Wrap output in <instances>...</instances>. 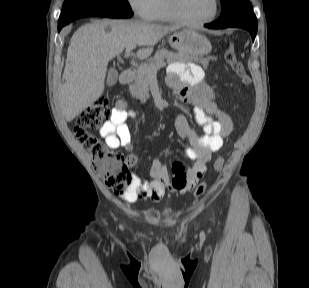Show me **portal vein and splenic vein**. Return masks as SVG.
Masks as SVG:
<instances>
[{"label": "portal vein and splenic vein", "mask_w": 309, "mask_h": 288, "mask_svg": "<svg viewBox=\"0 0 309 288\" xmlns=\"http://www.w3.org/2000/svg\"><path fill=\"white\" fill-rule=\"evenodd\" d=\"M135 47L134 46H129L126 48L125 56L127 57L131 50H133ZM166 64L165 62H160L158 63L155 67H148V71L151 75H155L157 73V69L164 67Z\"/></svg>", "instance_id": "18ae733b"}]
</instances>
